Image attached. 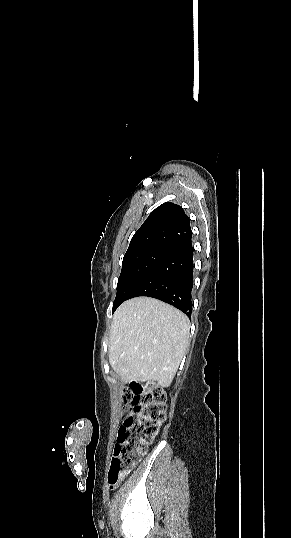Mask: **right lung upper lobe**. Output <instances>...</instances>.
<instances>
[{
    "label": "right lung upper lobe",
    "instance_id": "1",
    "mask_svg": "<svg viewBox=\"0 0 291 538\" xmlns=\"http://www.w3.org/2000/svg\"><path fill=\"white\" fill-rule=\"evenodd\" d=\"M191 237L189 217L179 205L166 202L150 213L132 237L127 252L152 246L173 249Z\"/></svg>",
    "mask_w": 291,
    "mask_h": 538
}]
</instances>
